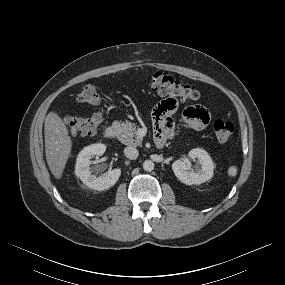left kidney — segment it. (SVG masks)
Masks as SVG:
<instances>
[{
  "instance_id": "obj_1",
  "label": "left kidney",
  "mask_w": 285,
  "mask_h": 285,
  "mask_svg": "<svg viewBox=\"0 0 285 285\" xmlns=\"http://www.w3.org/2000/svg\"><path fill=\"white\" fill-rule=\"evenodd\" d=\"M188 156L191 159H198L201 169L197 172L188 171V165L185 161L180 159L174 161L172 170L182 183L186 185H199L213 177L214 163L207 151L195 148L188 153Z\"/></svg>"
}]
</instances>
